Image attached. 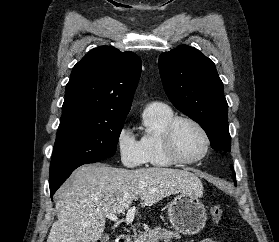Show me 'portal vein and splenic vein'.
Wrapping results in <instances>:
<instances>
[{
    "label": "portal vein and splenic vein",
    "mask_w": 279,
    "mask_h": 242,
    "mask_svg": "<svg viewBox=\"0 0 279 242\" xmlns=\"http://www.w3.org/2000/svg\"><path fill=\"white\" fill-rule=\"evenodd\" d=\"M134 215H135V207H132L131 209L128 210L126 218H125V223L127 225H131L134 219ZM106 218L114 221V222H118L119 218L116 214L114 213H110L106 215Z\"/></svg>",
    "instance_id": "obj_1"
}]
</instances>
